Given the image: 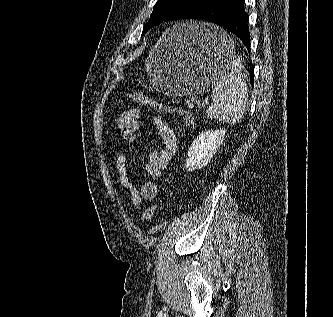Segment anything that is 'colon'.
<instances>
[{
	"mask_svg": "<svg viewBox=\"0 0 333 317\" xmlns=\"http://www.w3.org/2000/svg\"><path fill=\"white\" fill-rule=\"evenodd\" d=\"M127 97L136 102L139 103L143 106H146L148 108H151L153 110L156 111H160L163 113H168V114H176L179 115L183 118L184 122L187 125H191L193 124V117L191 114H189L188 112L166 105L156 99H153L149 96H147L146 94L142 93V92H131L127 94ZM159 205L158 204H153L151 206H149L148 208L145 209V211L143 212V219L146 222H149L155 215L157 209H158Z\"/></svg>",
	"mask_w": 333,
	"mask_h": 317,
	"instance_id": "5ec220e1",
	"label": "colon"
}]
</instances>
